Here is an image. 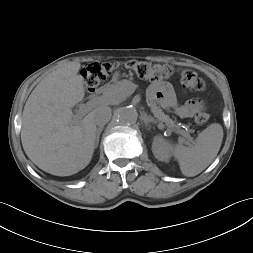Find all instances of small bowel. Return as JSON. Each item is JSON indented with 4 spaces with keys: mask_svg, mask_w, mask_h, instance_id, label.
Wrapping results in <instances>:
<instances>
[{
    "mask_svg": "<svg viewBox=\"0 0 253 253\" xmlns=\"http://www.w3.org/2000/svg\"><path fill=\"white\" fill-rule=\"evenodd\" d=\"M118 76V73L115 74V78ZM147 96L151 104L158 103L163 108L172 110L180 118H189L204 108L201 99H190L179 103L173 85L167 81L153 82L147 90Z\"/></svg>",
    "mask_w": 253,
    "mask_h": 253,
    "instance_id": "obj_1",
    "label": "small bowel"
}]
</instances>
